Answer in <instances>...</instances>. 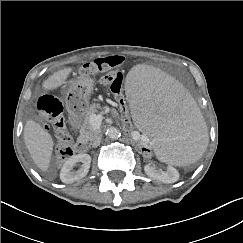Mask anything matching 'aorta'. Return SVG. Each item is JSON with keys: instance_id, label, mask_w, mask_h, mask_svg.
I'll list each match as a JSON object with an SVG mask.
<instances>
[{"instance_id": "1", "label": "aorta", "mask_w": 243, "mask_h": 243, "mask_svg": "<svg viewBox=\"0 0 243 243\" xmlns=\"http://www.w3.org/2000/svg\"><path fill=\"white\" fill-rule=\"evenodd\" d=\"M105 134L110 139H117L121 135L120 131L116 127L107 128Z\"/></svg>"}]
</instances>
